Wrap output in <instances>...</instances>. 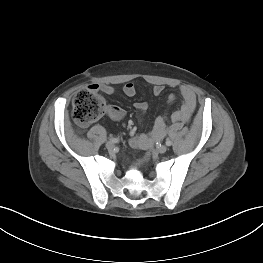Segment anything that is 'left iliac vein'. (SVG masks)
Listing matches in <instances>:
<instances>
[{"label": "left iliac vein", "instance_id": "left-iliac-vein-1", "mask_svg": "<svg viewBox=\"0 0 263 263\" xmlns=\"http://www.w3.org/2000/svg\"><path fill=\"white\" fill-rule=\"evenodd\" d=\"M166 151H167V146H165V145H160L157 147L158 153H165Z\"/></svg>", "mask_w": 263, "mask_h": 263}]
</instances>
